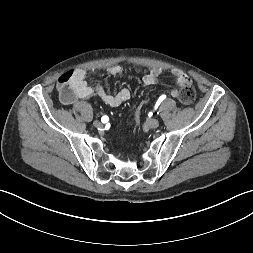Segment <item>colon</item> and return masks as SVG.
Returning <instances> with one entry per match:
<instances>
[{
    "label": "colon",
    "mask_w": 253,
    "mask_h": 253,
    "mask_svg": "<svg viewBox=\"0 0 253 253\" xmlns=\"http://www.w3.org/2000/svg\"><path fill=\"white\" fill-rule=\"evenodd\" d=\"M70 79H71V72L65 73L59 78L58 82L59 89L63 95H66L68 93ZM178 98L183 105L191 104L195 99L194 88L191 85L180 88ZM149 101H150L149 98L146 97L140 102L134 114L135 119L137 120L140 119L141 114L145 109L146 105L149 103Z\"/></svg>",
    "instance_id": "5ec220e1"
}]
</instances>
